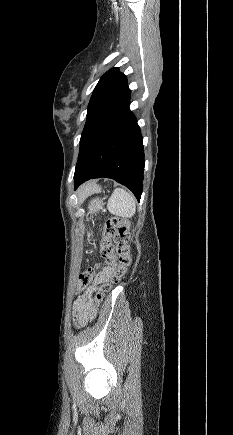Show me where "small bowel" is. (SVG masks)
<instances>
[{"label": "small bowel", "mask_w": 233, "mask_h": 435, "mask_svg": "<svg viewBox=\"0 0 233 435\" xmlns=\"http://www.w3.org/2000/svg\"><path fill=\"white\" fill-rule=\"evenodd\" d=\"M113 273L114 268L105 267L99 273L97 279L101 281H107L112 277ZM77 290L81 291V294L74 302L72 315L77 325H83L88 321L87 310L93 300L92 292L94 290V285L83 289L81 288L80 282L78 281Z\"/></svg>", "instance_id": "1"}]
</instances>
